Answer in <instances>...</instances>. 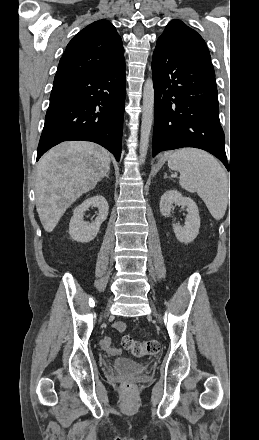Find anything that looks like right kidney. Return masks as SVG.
<instances>
[{
    "instance_id": "1",
    "label": "right kidney",
    "mask_w": 259,
    "mask_h": 440,
    "mask_svg": "<svg viewBox=\"0 0 259 440\" xmlns=\"http://www.w3.org/2000/svg\"><path fill=\"white\" fill-rule=\"evenodd\" d=\"M90 207H97L99 214L92 223L83 220V214ZM109 206L103 196H94L86 199L75 208L69 223V235L77 242L87 243L92 241L98 234L101 224L108 216Z\"/></svg>"
}]
</instances>
